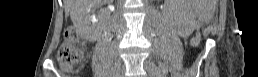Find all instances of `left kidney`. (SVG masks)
<instances>
[{"mask_svg": "<svg viewBox=\"0 0 258 77\" xmlns=\"http://www.w3.org/2000/svg\"><path fill=\"white\" fill-rule=\"evenodd\" d=\"M183 16H184L183 19H184L185 21H189V23H190V13H189L188 10H185V11H184Z\"/></svg>", "mask_w": 258, "mask_h": 77, "instance_id": "obj_1", "label": "left kidney"}]
</instances>
